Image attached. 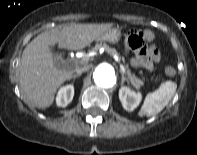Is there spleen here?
<instances>
[{
	"instance_id": "spleen-1",
	"label": "spleen",
	"mask_w": 197,
	"mask_h": 155,
	"mask_svg": "<svg viewBox=\"0 0 197 155\" xmlns=\"http://www.w3.org/2000/svg\"><path fill=\"white\" fill-rule=\"evenodd\" d=\"M176 89L175 82H163L158 90L146 95L138 115L140 117L153 116L161 112L174 96Z\"/></svg>"
}]
</instances>
